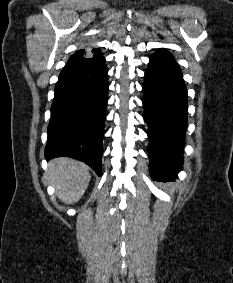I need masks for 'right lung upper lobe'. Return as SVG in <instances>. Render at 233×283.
Segmentation results:
<instances>
[{
	"instance_id": "right-lung-upper-lobe-1",
	"label": "right lung upper lobe",
	"mask_w": 233,
	"mask_h": 283,
	"mask_svg": "<svg viewBox=\"0 0 233 283\" xmlns=\"http://www.w3.org/2000/svg\"><path fill=\"white\" fill-rule=\"evenodd\" d=\"M87 49L91 48L90 44L86 45ZM103 54H111V49H92V50H78L76 51L68 60V62L70 61H75V60H80V59H84V58H100L103 57Z\"/></svg>"
}]
</instances>
